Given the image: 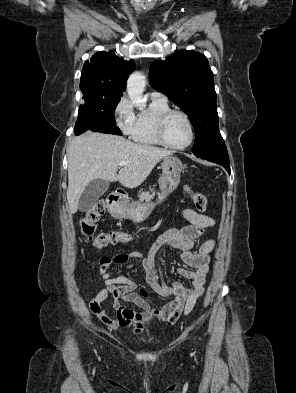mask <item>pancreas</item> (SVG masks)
<instances>
[{
	"mask_svg": "<svg viewBox=\"0 0 296 393\" xmlns=\"http://www.w3.org/2000/svg\"><path fill=\"white\" fill-rule=\"evenodd\" d=\"M151 194H150V192H143V193H141L140 194V200L141 201H147V202H150L153 198H154V196H155V191H154V189H151Z\"/></svg>",
	"mask_w": 296,
	"mask_h": 393,
	"instance_id": "pancreas-1",
	"label": "pancreas"
}]
</instances>
